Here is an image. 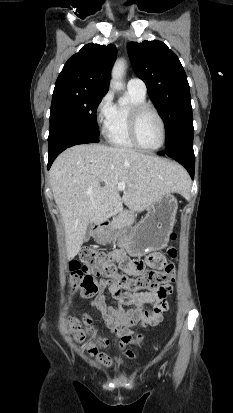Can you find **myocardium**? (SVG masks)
<instances>
[{
	"label": "myocardium",
	"instance_id": "myocardium-1",
	"mask_svg": "<svg viewBox=\"0 0 233 413\" xmlns=\"http://www.w3.org/2000/svg\"><path fill=\"white\" fill-rule=\"evenodd\" d=\"M147 111H151L152 113H154V115L157 117V119L159 120L160 125H161V132H162L161 142L156 147H146V146H144L140 142L139 137H138L139 121H140L142 115ZM128 130H129V136H130L132 142L134 143V145L137 148H139L143 151H147V152L158 151L161 148H163V146L166 143L167 130H166L165 121H164L162 115L160 114V112L153 105L148 104L146 102L137 104V105L132 107V109L130 111V115H129Z\"/></svg>",
	"mask_w": 233,
	"mask_h": 413
}]
</instances>
